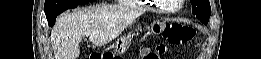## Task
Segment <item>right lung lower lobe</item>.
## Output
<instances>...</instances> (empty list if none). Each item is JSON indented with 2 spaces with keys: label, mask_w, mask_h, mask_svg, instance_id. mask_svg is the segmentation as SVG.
Segmentation results:
<instances>
[{
  "label": "right lung lower lobe",
  "mask_w": 261,
  "mask_h": 59,
  "mask_svg": "<svg viewBox=\"0 0 261 59\" xmlns=\"http://www.w3.org/2000/svg\"><path fill=\"white\" fill-rule=\"evenodd\" d=\"M75 7H77V5L65 7L63 10L59 11L57 14H54V15H51V16L47 17L48 24H49L50 26H53V25L55 24L56 17H57L60 13H62L63 11H65V10H67V9H69V8H75Z\"/></svg>",
  "instance_id": "98d812e1"
}]
</instances>
